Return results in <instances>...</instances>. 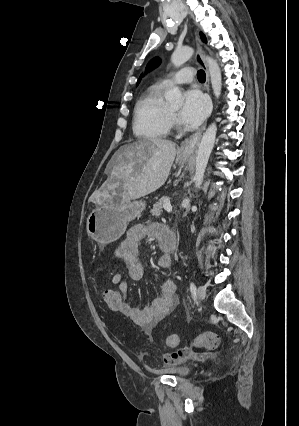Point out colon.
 <instances>
[{
    "label": "colon",
    "instance_id": "obj_1",
    "mask_svg": "<svg viewBox=\"0 0 299 426\" xmlns=\"http://www.w3.org/2000/svg\"><path fill=\"white\" fill-rule=\"evenodd\" d=\"M102 300L109 309L119 312L123 302V292L118 287L105 288L101 292ZM179 337L177 335H169L165 338V344L168 347H176L179 345ZM219 345V337L212 332H206L199 335L193 342L195 348L204 347L207 349L216 348ZM184 352H190V349H182Z\"/></svg>",
    "mask_w": 299,
    "mask_h": 426
}]
</instances>
